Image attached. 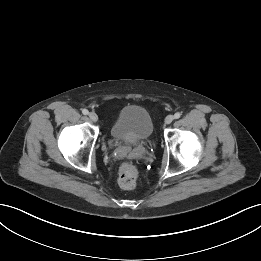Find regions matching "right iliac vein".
I'll return each mask as SVG.
<instances>
[{"label":"right iliac vein","instance_id":"right-iliac-vein-1","mask_svg":"<svg viewBox=\"0 0 261 261\" xmlns=\"http://www.w3.org/2000/svg\"><path fill=\"white\" fill-rule=\"evenodd\" d=\"M89 118L92 122H97L98 121V116L95 112H90L89 113Z\"/></svg>","mask_w":261,"mask_h":261}]
</instances>
